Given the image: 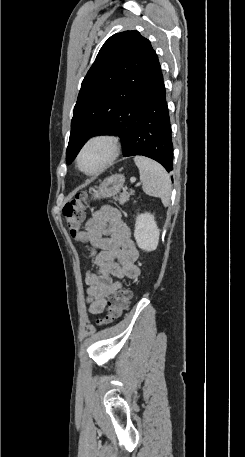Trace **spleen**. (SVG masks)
Listing matches in <instances>:
<instances>
[{
	"label": "spleen",
	"mask_w": 245,
	"mask_h": 457,
	"mask_svg": "<svg viewBox=\"0 0 245 457\" xmlns=\"http://www.w3.org/2000/svg\"><path fill=\"white\" fill-rule=\"evenodd\" d=\"M134 162L139 168L144 192L150 196H159L164 206H168L172 188L167 170L147 156H134Z\"/></svg>",
	"instance_id": "3e777b00"
}]
</instances>
